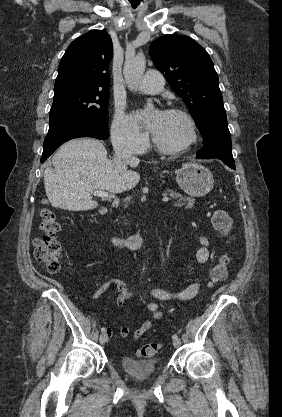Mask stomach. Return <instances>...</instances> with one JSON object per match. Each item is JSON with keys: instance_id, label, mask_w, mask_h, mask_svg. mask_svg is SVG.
<instances>
[{"instance_id": "obj_1", "label": "stomach", "mask_w": 282, "mask_h": 417, "mask_svg": "<svg viewBox=\"0 0 282 417\" xmlns=\"http://www.w3.org/2000/svg\"><path fill=\"white\" fill-rule=\"evenodd\" d=\"M176 174L179 186L190 196H205L214 186L211 170L198 162H186Z\"/></svg>"}]
</instances>
